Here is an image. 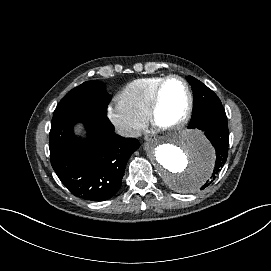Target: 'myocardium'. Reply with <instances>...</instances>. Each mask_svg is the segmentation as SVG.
<instances>
[{
    "mask_svg": "<svg viewBox=\"0 0 271 271\" xmlns=\"http://www.w3.org/2000/svg\"><path fill=\"white\" fill-rule=\"evenodd\" d=\"M179 80L181 81L187 90L188 94V103L185 112L175 121L169 123V124H162L159 121V113L161 109V103H162V93L163 89L166 86V84L171 81V80ZM194 93L192 90V87L190 83L185 79L183 76L178 75V74H170L167 75L155 88L152 94V100H151V107L149 111V119L151 124L163 131H171V130H177L185 126L189 120L192 117L193 111H194Z\"/></svg>",
    "mask_w": 271,
    "mask_h": 271,
    "instance_id": "f54148a6",
    "label": "myocardium"
}]
</instances>
